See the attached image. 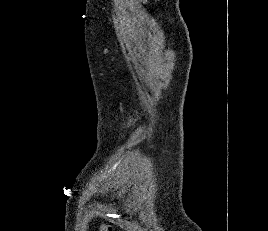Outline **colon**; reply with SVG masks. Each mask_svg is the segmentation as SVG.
<instances>
[{
    "label": "colon",
    "mask_w": 268,
    "mask_h": 231,
    "mask_svg": "<svg viewBox=\"0 0 268 231\" xmlns=\"http://www.w3.org/2000/svg\"><path fill=\"white\" fill-rule=\"evenodd\" d=\"M99 230L100 231H113V228L109 223L104 222L100 225Z\"/></svg>",
    "instance_id": "1"
}]
</instances>
